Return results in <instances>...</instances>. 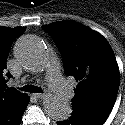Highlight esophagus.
<instances>
[{
  "mask_svg": "<svg viewBox=\"0 0 125 125\" xmlns=\"http://www.w3.org/2000/svg\"><path fill=\"white\" fill-rule=\"evenodd\" d=\"M33 97L35 98H44L46 96L45 93H36V94H32Z\"/></svg>",
  "mask_w": 125,
  "mask_h": 125,
  "instance_id": "esophagus-1",
  "label": "esophagus"
}]
</instances>
